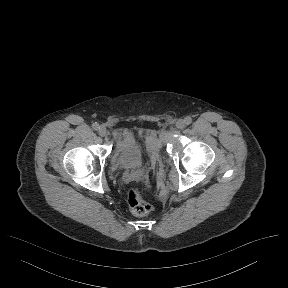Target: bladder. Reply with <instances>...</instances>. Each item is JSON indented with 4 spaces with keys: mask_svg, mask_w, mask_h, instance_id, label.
Masks as SVG:
<instances>
[{
    "mask_svg": "<svg viewBox=\"0 0 288 288\" xmlns=\"http://www.w3.org/2000/svg\"><path fill=\"white\" fill-rule=\"evenodd\" d=\"M112 144L111 165L121 170L137 169L144 161L155 159L160 152L159 140L152 129L117 131Z\"/></svg>",
    "mask_w": 288,
    "mask_h": 288,
    "instance_id": "31cf9c89",
    "label": "bladder"
}]
</instances>
